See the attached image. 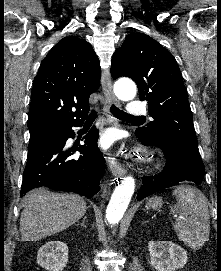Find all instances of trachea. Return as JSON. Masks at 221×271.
Instances as JSON below:
<instances>
[{
	"instance_id": "1",
	"label": "trachea",
	"mask_w": 221,
	"mask_h": 271,
	"mask_svg": "<svg viewBox=\"0 0 221 271\" xmlns=\"http://www.w3.org/2000/svg\"><path fill=\"white\" fill-rule=\"evenodd\" d=\"M110 111H111L112 115H114L116 118L121 119L123 121L141 118L139 116L130 115L129 113H126L125 111L120 110L115 105L111 106ZM97 116H98L97 112L93 111L86 118V121H94V120H96Z\"/></svg>"
}]
</instances>
